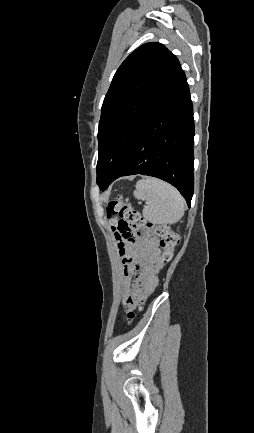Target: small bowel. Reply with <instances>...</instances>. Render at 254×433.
Instances as JSON below:
<instances>
[{
  "mask_svg": "<svg viewBox=\"0 0 254 433\" xmlns=\"http://www.w3.org/2000/svg\"><path fill=\"white\" fill-rule=\"evenodd\" d=\"M121 258L126 300L129 297L143 300L157 287L158 273L164 265L154 237L144 234L137 236L132 243L125 245Z\"/></svg>",
  "mask_w": 254,
  "mask_h": 433,
  "instance_id": "1",
  "label": "small bowel"
}]
</instances>
